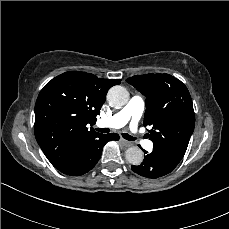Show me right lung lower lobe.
Wrapping results in <instances>:
<instances>
[{"instance_id": "1", "label": "right lung lower lobe", "mask_w": 229, "mask_h": 229, "mask_svg": "<svg viewBox=\"0 0 229 229\" xmlns=\"http://www.w3.org/2000/svg\"><path fill=\"white\" fill-rule=\"evenodd\" d=\"M111 140H119L116 133L99 134L90 139L62 166L57 168L66 175L79 176L91 170L101 157L103 146Z\"/></svg>"}]
</instances>
